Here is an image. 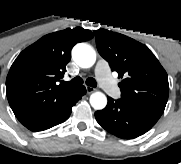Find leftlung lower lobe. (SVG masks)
Returning a JSON list of instances; mask_svg holds the SVG:
<instances>
[{
	"mask_svg": "<svg viewBox=\"0 0 181 164\" xmlns=\"http://www.w3.org/2000/svg\"><path fill=\"white\" fill-rule=\"evenodd\" d=\"M160 116L148 108L111 97L103 110L95 112L97 122L105 130L123 139L143 135L155 125Z\"/></svg>",
	"mask_w": 181,
	"mask_h": 164,
	"instance_id": "1",
	"label": "left lung lower lobe"
}]
</instances>
